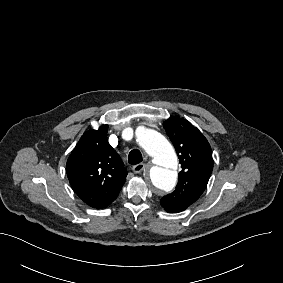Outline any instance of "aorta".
<instances>
[{
	"label": "aorta",
	"instance_id": "762f6f07",
	"mask_svg": "<svg viewBox=\"0 0 283 283\" xmlns=\"http://www.w3.org/2000/svg\"><path fill=\"white\" fill-rule=\"evenodd\" d=\"M137 142L153 158L156 166L150 169L152 184L161 190L171 191L177 181V155L170 142L159 132L143 129L137 134Z\"/></svg>",
	"mask_w": 283,
	"mask_h": 283
}]
</instances>
